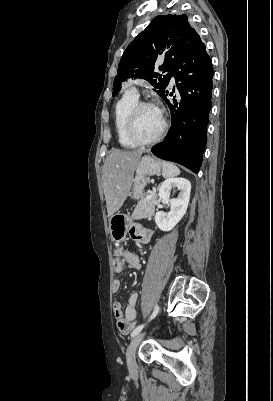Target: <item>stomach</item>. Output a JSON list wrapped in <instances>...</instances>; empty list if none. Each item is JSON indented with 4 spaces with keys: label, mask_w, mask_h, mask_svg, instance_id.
I'll list each match as a JSON object with an SVG mask.
<instances>
[{
    "label": "stomach",
    "mask_w": 273,
    "mask_h": 401,
    "mask_svg": "<svg viewBox=\"0 0 273 401\" xmlns=\"http://www.w3.org/2000/svg\"><path fill=\"white\" fill-rule=\"evenodd\" d=\"M162 162L153 156H142L137 168L136 174L133 178L131 188L132 198H143L144 188L147 184V176L152 174H159L161 172ZM132 223L131 217L116 213L109 219L110 237L112 241H124L128 233V229Z\"/></svg>",
    "instance_id": "1"
}]
</instances>
